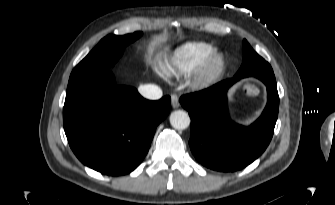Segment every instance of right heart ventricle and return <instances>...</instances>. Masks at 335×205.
<instances>
[{"mask_svg": "<svg viewBox=\"0 0 335 205\" xmlns=\"http://www.w3.org/2000/svg\"><path fill=\"white\" fill-rule=\"evenodd\" d=\"M214 50L210 43L187 42L173 52L166 66L167 71L174 75L192 73Z\"/></svg>", "mask_w": 335, "mask_h": 205, "instance_id": "right-heart-ventricle-1", "label": "right heart ventricle"}]
</instances>
